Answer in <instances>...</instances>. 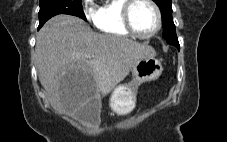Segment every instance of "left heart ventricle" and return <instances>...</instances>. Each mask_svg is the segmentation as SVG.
<instances>
[{
    "label": "left heart ventricle",
    "instance_id": "1",
    "mask_svg": "<svg viewBox=\"0 0 227 142\" xmlns=\"http://www.w3.org/2000/svg\"><path fill=\"white\" fill-rule=\"evenodd\" d=\"M132 22L138 32L149 34L157 26L156 12L150 4L140 1L133 8Z\"/></svg>",
    "mask_w": 227,
    "mask_h": 142
}]
</instances>
